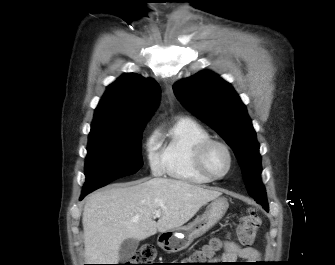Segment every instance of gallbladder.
Instances as JSON below:
<instances>
[{
	"mask_svg": "<svg viewBox=\"0 0 335 265\" xmlns=\"http://www.w3.org/2000/svg\"><path fill=\"white\" fill-rule=\"evenodd\" d=\"M139 245V241L135 238H128L123 241L119 249V260L128 261L135 254Z\"/></svg>",
	"mask_w": 335,
	"mask_h": 265,
	"instance_id": "obj_1",
	"label": "gallbladder"
}]
</instances>
